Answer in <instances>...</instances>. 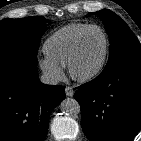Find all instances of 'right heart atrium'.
I'll return each mask as SVG.
<instances>
[{
    "label": "right heart atrium",
    "mask_w": 141,
    "mask_h": 141,
    "mask_svg": "<svg viewBox=\"0 0 141 141\" xmlns=\"http://www.w3.org/2000/svg\"><path fill=\"white\" fill-rule=\"evenodd\" d=\"M39 67L46 78L51 82L59 81L64 76L63 66L54 62L47 56L39 60Z\"/></svg>",
    "instance_id": "obj_1"
}]
</instances>
